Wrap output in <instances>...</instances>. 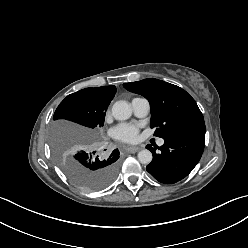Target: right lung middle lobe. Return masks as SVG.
I'll use <instances>...</instances> for the list:
<instances>
[{"mask_svg": "<svg viewBox=\"0 0 248 248\" xmlns=\"http://www.w3.org/2000/svg\"><path fill=\"white\" fill-rule=\"evenodd\" d=\"M111 100L88 93L85 89L68 95L54 113V120L66 119L89 128L104 125L105 112ZM57 163L76 185L85 191L106 188L115 179L119 168V155H101L88 150L74 153L54 144Z\"/></svg>", "mask_w": 248, "mask_h": 248, "instance_id": "right-lung-middle-lobe-1", "label": "right lung middle lobe"}]
</instances>
